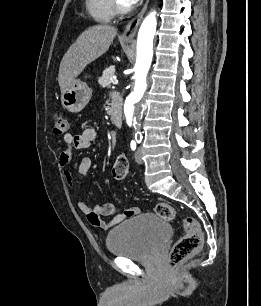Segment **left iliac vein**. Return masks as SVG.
<instances>
[{
  "mask_svg": "<svg viewBox=\"0 0 261 306\" xmlns=\"http://www.w3.org/2000/svg\"><path fill=\"white\" fill-rule=\"evenodd\" d=\"M134 158H135V161L138 163V164H142L143 163V160H142V148L139 146L135 153H134Z\"/></svg>",
  "mask_w": 261,
  "mask_h": 306,
  "instance_id": "4c4485c4",
  "label": "left iliac vein"
}]
</instances>
